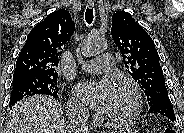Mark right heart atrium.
<instances>
[{
  "instance_id": "1",
  "label": "right heart atrium",
  "mask_w": 184,
  "mask_h": 133,
  "mask_svg": "<svg viewBox=\"0 0 184 133\" xmlns=\"http://www.w3.org/2000/svg\"><path fill=\"white\" fill-rule=\"evenodd\" d=\"M68 109L72 113L85 114L86 108L76 99H71L68 103Z\"/></svg>"
}]
</instances>
